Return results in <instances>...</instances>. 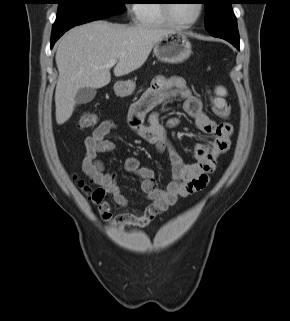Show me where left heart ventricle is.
<instances>
[{
	"instance_id": "b2bd125f",
	"label": "left heart ventricle",
	"mask_w": 290,
	"mask_h": 321,
	"mask_svg": "<svg viewBox=\"0 0 290 321\" xmlns=\"http://www.w3.org/2000/svg\"><path fill=\"white\" fill-rule=\"evenodd\" d=\"M197 14V1L179 0L172 4V15L179 22H189Z\"/></svg>"
}]
</instances>
